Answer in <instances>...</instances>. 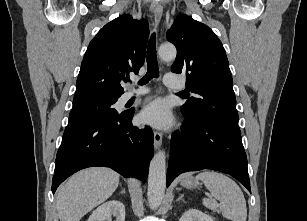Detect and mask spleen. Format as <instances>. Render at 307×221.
I'll list each match as a JSON object with an SVG mask.
<instances>
[{
  "instance_id": "3e777b00",
  "label": "spleen",
  "mask_w": 307,
  "mask_h": 221,
  "mask_svg": "<svg viewBox=\"0 0 307 221\" xmlns=\"http://www.w3.org/2000/svg\"><path fill=\"white\" fill-rule=\"evenodd\" d=\"M196 178L204 182L213 197L203 199L205 207L219 210L229 220L246 221L247 207L243 192L231 178L215 171L201 172Z\"/></svg>"
}]
</instances>
